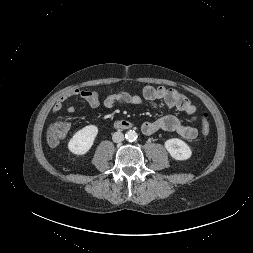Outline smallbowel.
Instances as JSON below:
<instances>
[{"label": "small bowel", "instance_id": "obj_1", "mask_svg": "<svg viewBox=\"0 0 253 253\" xmlns=\"http://www.w3.org/2000/svg\"><path fill=\"white\" fill-rule=\"evenodd\" d=\"M72 97H80L84 99L91 108H97L102 103L106 108H112L115 104L141 105L144 102H153L162 100L170 108H176L189 121L195 122L196 108L190 100L180 91L164 86H145L140 94H131L125 91H117L108 94L103 101L99 94L95 91L73 89L62 95L54 104L52 113L56 115L62 109L63 104ZM76 112L75 107L70 106L68 113L73 115ZM160 131L174 132L185 140H194L198 131L193 126L184 125L177 117L167 115L155 121L143 123L142 132L145 135H153Z\"/></svg>", "mask_w": 253, "mask_h": 253}]
</instances>
